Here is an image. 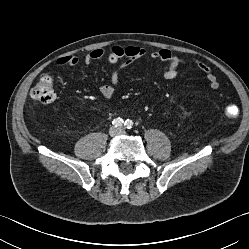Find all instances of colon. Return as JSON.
I'll list each match as a JSON object with an SVG mask.
<instances>
[{
    "mask_svg": "<svg viewBox=\"0 0 249 249\" xmlns=\"http://www.w3.org/2000/svg\"><path fill=\"white\" fill-rule=\"evenodd\" d=\"M31 96L34 100L49 104L55 99V89L53 77L50 74H43L32 89ZM237 115V108L231 105L227 109L228 117H235Z\"/></svg>",
    "mask_w": 249,
    "mask_h": 249,
    "instance_id": "colon-1",
    "label": "colon"
}]
</instances>
